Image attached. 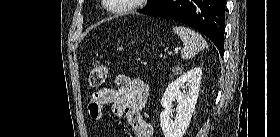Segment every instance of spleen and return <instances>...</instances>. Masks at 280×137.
<instances>
[{
	"mask_svg": "<svg viewBox=\"0 0 280 137\" xmlns=\"http://www.w3.org/2000/svg\"><path fill=\"white\" fill-rule=\"evenodd\" d=\"M173 32L180 37L185 45L181 50V56L183 59H189L207 47L206 40L199 33L188 27L175 26L173 27Z\"/></svg>",
	"mask_w": 280,
	"mask_h": 137,
	"instance_id": "obj_1",
	"label": "spleen"
}]
</instances>
